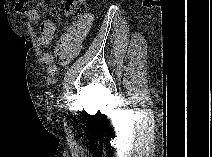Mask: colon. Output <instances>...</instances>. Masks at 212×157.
Segmentation results:
<instances>
[{
	"instance_id": "obj_1",
	"label": "colon",
	"mask_w": 212,
	"mask_h": 157,
	"mask_svg": "<svg viewBox=\"0 0 212 157\" xmlns=\"http://www.w3.org/2000/svg\"><path fill=\"white\" fill-rule=\"evenodd\" d=\"M65 13L73 18L82 17L86 13V3L84 0H65ZM76 37V34H70L67 38Z\"/></svg>"
}]
</instances>
